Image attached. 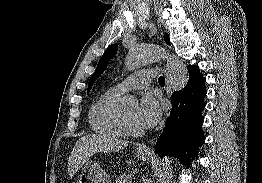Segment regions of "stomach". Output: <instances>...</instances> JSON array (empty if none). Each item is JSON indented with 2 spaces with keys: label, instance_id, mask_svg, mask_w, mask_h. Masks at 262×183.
<instances>
[{
  "label": "stomach",
  "instance_id": "0dacf381",
  "mask_svg": "<svg viewBox=\"0 0 262 183\" xmlns=\"http://www.w3.org/2000/svg\"><path fill=\"white\" fill-rule=\"evenodd\" d=\"M136 156L140 160H146L150 154L148 152L136 151ZM77 183H111V179L98 164L89 161L81 167Z\"/></svg>",
  "mask_w": 262,
  "mask_h": 183
}]
</instances>
